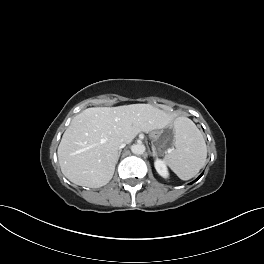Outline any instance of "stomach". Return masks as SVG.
<instances>
[{
    "label": "stomach",
    "mask_w": 264,
    "mask_h": 264,
    "mask_svg": "<svg viewBox=\"0 0 264 264\" xmlns=\"http://www.w3.org/2000/svg\"><path fill=\"white\" fill-rule=\"evenodd\" d=\"M150 138L158 152H167L174 143L175 131L171 127H164L160 132H151Z\"/></svg>",
    "instance_id": "1"
}]
</instances>
